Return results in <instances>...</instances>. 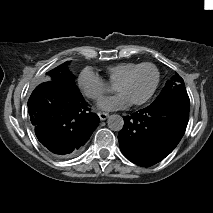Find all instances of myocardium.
<instances>
[{"mask_svg": "<svg viewBox=\"0 0 213 213\" xmlns=\"http://www.w3.org/2000/svg\"><path fill=\"white\" fill-rule=\"evenodd\" d=\"M144 68H151L153 70V72L155 74L154 82H153V85H152L150 91L144 97L130 102V104L134 105V106H139V105L146 103L154 95V93L157 89L158 83H159V78H160V73H159L158 68L154 64L149 63V62L142 63L141 65L136 66L133 69H131L128 73H126L123 77H121L114 84L116 86V85H119L121 83L128 81L132 77V75H134L135 73H137L138 71H140L141 69H144Z\"/></svg>", "mask_w": 213, "mask_h": 213, "instance_id": "obj_1", "label": "myocardium"}]
</instances>
